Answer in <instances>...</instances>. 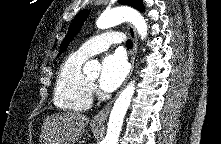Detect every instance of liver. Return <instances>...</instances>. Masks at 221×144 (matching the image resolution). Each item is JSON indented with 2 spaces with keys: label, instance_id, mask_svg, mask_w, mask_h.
Returning a JSON list of instances; mask_svg holds the SVG:
<instances>
[{
  "label": "liver",
  "instance_id": "obj_1",
  "mask_svg": "<svg viewBox=\"0 0 221 144\" xmlns=\"http://www.w3.org/2000/svg\"><path fill=\"white\" fill-rule=\"evenodd\" d=\"M89 118L78 112L56 113L44 120L41 144H76L82 137Z\"/></svg>",
  "mask_w": 221,
  "mask_h": 144
}]
</instances>
